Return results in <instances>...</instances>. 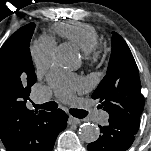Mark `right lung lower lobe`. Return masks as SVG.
I'll use <instances>...</instances> for the list:
<instances>
[{"label": "right lung lower lobe", "mask_w": 151, "mask_h": 151, "mask_svg": "<svg viewBox=\"0 0 151 151\" xmlns=\"http://www.w3.org/2000/svg\"><path fill=\"white\" fill-rule=\"evenodd\" d=\"M67 119V114L61 109H57L54 112H49L47 135L50 141V149L48 151H52L57 135L66 128Z\"/></svg>", "instance_id": "obj_1"}]
</instances>
